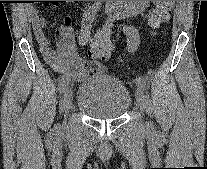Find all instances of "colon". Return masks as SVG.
<instances>
[{
    "label": "colon",
    "instance_id": "1",
    "mask_svg": "<svg viewBox=\"0 0 207 169\" xmlns=\"http://www.w3.org/2000/svg\"><path fill=\"white\" fill-rule=\"evenodd\" d=\"M173 3L174 1H154V8L148 16V23L151 28L157 29L168 20ZM112 49L113 43L110 33L101 30L92 39L90 56L95 61H104L110 56Z\"/></svg>",
    "mask_w": 207,
    "mask_h": 169
}]
</instances>
